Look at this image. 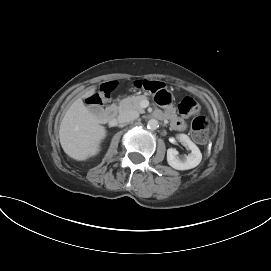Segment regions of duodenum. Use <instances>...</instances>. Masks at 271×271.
<instances>
[{"label": "duodenum", "instance_id": "duodenum-1", "mask_svg": "<svg viewBox=\"0 0 271 271\" xmlns=\"http://www.w3.org/2000/svg\"><path fill=\"white\" fill-rule=\"evenodd\" d=\"M117 110L115 107H108L105 111L104 117L107 123L112 124L115 121Z\"/></svg>", "mask_w": 271, "mask_h": 271}]
</instances>
